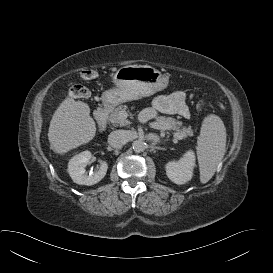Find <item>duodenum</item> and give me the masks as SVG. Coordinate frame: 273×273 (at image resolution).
<instances>
[{
  "mask_svg": "<svg viewBox=\"0 0 273 273\" xmlns=\"http://www.w3.org/2000/svg\"><path fill=\"white\" fill-rule=\"evenodd\" d=\"M107 116H108V112L105 108L101 107L95 111V117L97 120V125H98L99 131L105 130L106 124H107Z\"/></svg>",
  "mask_w": 273,
  "mask_h": 273,
  "instance_id": "410a0bca",
  "label": "duodenum"
}]
</instances>
